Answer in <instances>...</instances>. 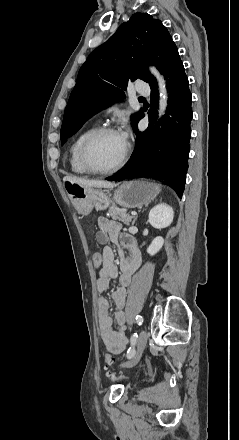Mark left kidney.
Masks as SVG:
<instances>
[{
    "label": "left kidney",
    "mask_w": 239,
    "mask_h": 440,
    "mask_svg": "<svg viewBox=\"0 0 239 440\" xmlns=\"http://www.w3.org/2000/svg\"><path fill=\"white\" fill-rule=\"evenodd\" d=\"M174 218L173 208H170L168 204H157L154 206L152 210H150L149 214V224L153 226V228H157V230H161V228H167L172 224ZM164 244L163 238L161 236H157L152 240L149 248H147L148 254L150 256H155L159 250H161Z\"/></svg>",
    "instance_id": "1"
}]
</instances>
